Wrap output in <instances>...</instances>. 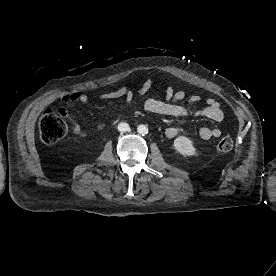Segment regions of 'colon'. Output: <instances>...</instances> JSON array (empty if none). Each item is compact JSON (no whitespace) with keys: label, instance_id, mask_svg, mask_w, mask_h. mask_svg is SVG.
Listing matches in <instances>:
<instances>
[{"label":"colon","instance_id":"5ec220e1","mask_svg":"<svg viewBox=\"0 0 276 276\" xmlns=\"http://www.w3.org/2000/svg\"><path fill=\"white\" fill-rule=\"evenodd\" d=\"M41 139L46 144H54L60 141L67 133L68 126L58 113L46 110L39 121ZM233 148V139L230 136L222 137L217 143L219 152H229Z\"/></svg>","mask_w":276,"mask_h":276}]
</instances>
